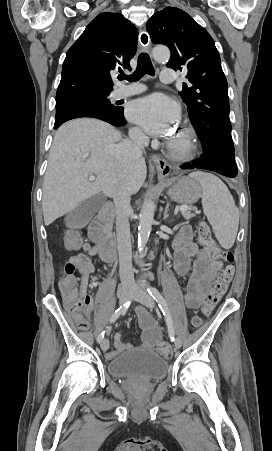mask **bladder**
<instances>
[{
    "label": "bladder",
    "instance_id": "obj_1",
    "mask_svg": "<svg viewBox=\"0 0 272 451\" xmlns=\"http://www.w3.org/2000/svg\"><path fill=\"white\" fill-rule=\"evenodd\" d=\"M107 373L112 377L137 380L164 379L168 371V361L161 354L152 351H131L117 355L106 365Z\"/></svg>",
    "mask_w": 272,
    "mask_h": 451
}]
</instances>
